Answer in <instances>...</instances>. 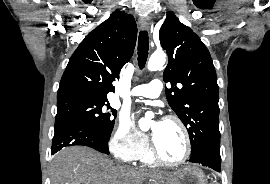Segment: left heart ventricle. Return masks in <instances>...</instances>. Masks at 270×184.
I'll list each match as a JSON object with an SVG mask.
<instances>
[{
	"label": "left heart ventricle",
	"instance_id": "left-heart-ventricle-1",
	"mask_svg": "<svg viewBox=\"0 0 270 184\" xmlns=\"http://www.w3.org/2000/svg\"><path fill=\"white\" fill-rule=\"evenodd\" d=\"M153 140L160 155L168 161L180 160L185 152V142L181 129L170 121L152 125Z\"/></svg>",
	"mask_w": 270,
	"mask_h": 184
}]
</instances>
